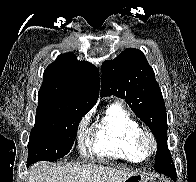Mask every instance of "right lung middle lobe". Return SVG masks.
I'll use <instances>...</instances> for the list:
<instances>
[{
    "instance_id": "obj_1",
    "label": "right lung middle lobe",
    "mask_w": 196,
    "mask_h": 182,
    "mask_svg": "<svg viewBox=\"0 0 196 182\" xmlns=\"http://www.w3.org/2000/svg\"><path fill=\"white\" fill-rule=\"evenodd\" d=\"M28 143L27 165L56 161L72 148L84 114L65 109L37 111Z\"/></svg>"
}]
</instances>
